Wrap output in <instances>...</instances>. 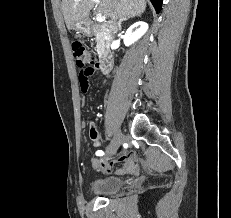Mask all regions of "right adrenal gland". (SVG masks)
Wrapping results in <instances>:
<instances>
[{"label": "right adrenal gland", "instance_id": "right-adrenal-gland-1", "mask_svg": "<svg viewBox=\"0 0 231 218\" xmlns=\"http://www.w3.org/2000/svg\"><path fill=\"white\" fill-rule=\"evenodd\" d=\"M128 19H129V18H125V19H122V20L119 21V23H118L119 29H121L122 22H123V21H126V20H128Z\"/></svg>", "mask_w": 231, "mask_h": 218}]
</instances>
